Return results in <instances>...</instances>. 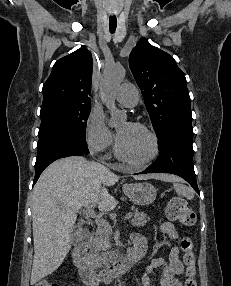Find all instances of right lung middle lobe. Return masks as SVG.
<instances>
[{
	"label": "right lung middle lobe",
	"mask_w": 231,
	"mask_h": 286,
	"mask_svg": "<svg viewBox=\"0 0 231 286\" xmlns=\"http://www.w3.org/2000/svg\"><path fill=\"white\" fill-rule=\"evenodd\" d=\"M90 110V104L59 102L42 106L38 145L61 136L85 140Z\"/></svg>",
	"instance_id": "dd1d6c3e"
}]
</instances>
